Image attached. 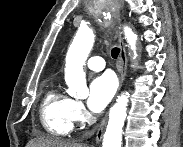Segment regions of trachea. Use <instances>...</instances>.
<instances>
[{"label":"trachea","instance_id":"3493384b","mask_svg":"<svg viewBox=\"0 0 183 147\" xmlns=\"http://www.w3.org/2000/svg\"><path fill=\"white\" fill-rule=\"evenodd\" d=\"M119 53H120V49L118 47H114L111 50V56H112V58L117 59Z\"/></svg>","mask_w":183,"mask_h":147}]
</instances>
